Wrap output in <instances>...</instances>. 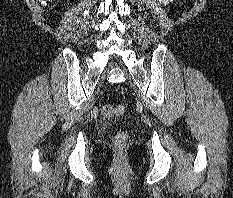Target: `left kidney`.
Listing matches in <instances>:
<instances>
[{"mask_svg":"<svg viewBox=\"0 0 233 198\" xmlns=\"http://www.w3.org/2000/svg\"><path fill=\"white\" fill-rule=\"evenodd\" d=\"M173 0H159V2L163 3L164 5L169 4V2H172Z\"/></svg>","mask_w":233,"mask_h":198,"instance_id":"1","label":"left kidney"}]
</instances>
